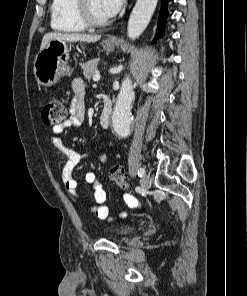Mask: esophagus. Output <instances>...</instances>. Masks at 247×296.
Here are the masks:
<instances>
[{"instance_id": "esophagus-1", "label": "esophagus", "mask_w": 247, "mask_h": 296, "mask_svg": "<svg viewBox=\"0 0 247 296\" xmlns=\"http://www.w3.org/2000/svg\"><path fill=\"white\" fill-rule=\"evenodd\" d=\"M108 41H112L113 42L114 40L113 39H109Z\"/></svg>"}]
</instances>
